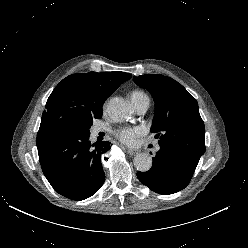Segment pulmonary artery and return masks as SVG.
Masks as SVG:
<instances>
[{
	"instance_id": "1",
	"label": "pulmonary artery",
	"mask_w": 248,
	"mask_h": 248,
	"mask_svg": "<svg viewBox=\"0 0 248 248\" xmlns=\"http://www.w3.org/2000/svg\"><path fill=\"white\" fill-rule=\"evenodd\" d=\"M132 103L134 105L135 110L140 114L145 113L150 106V100L148 97L134 98L132 99ZM99 131V128L93 130L94 134L99 133Z\"/></svg>"
}]
</instances>
